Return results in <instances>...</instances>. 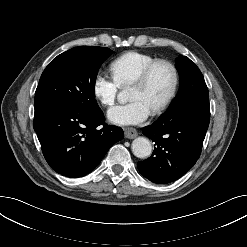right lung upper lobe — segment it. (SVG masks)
I'll use <instances>...</instances> for the list:
<instances>
[{
    "mask_svg": "<svg viewBox=\"0 0 247 247\" xmlns=\"http://www.w3.org/2000/svg\"><path fill=\"white\" fill-rule=\"evenodd\" d=\"M80 47H91V46H80ZM76 48V47H75Z\"/></svg>",
    "mask_w": 247,
    "mask_h": 247,
    "instance_id": "cb5924a9",
    "label": "right lung upper lobe"
}]
</instances>
